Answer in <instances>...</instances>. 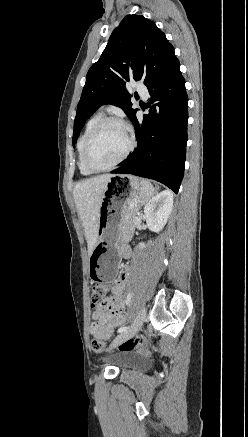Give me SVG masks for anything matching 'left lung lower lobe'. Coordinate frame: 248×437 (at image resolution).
<instances>
[{
	"instance_id": "obj_1",
	"label": "left lung lower lobe",
	"mask_w": 248,
	"mask_h": 437,
	"mask_svg": "<svg viewBox=\"0 0 248 437\" xmlns=\"http://www.w3.org/2000/svg\"><path fill=\"white\" fill-rule=\"evenodd\" d=\"M149 114L135 126L137 149L111 173L133 174L157 180L178 192L186 156L188 96L180 63H172L147 86Z\"/></svg>"
}]
</instances>
